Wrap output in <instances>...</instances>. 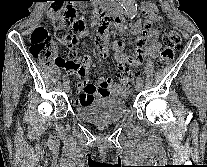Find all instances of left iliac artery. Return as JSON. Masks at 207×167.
I'll use <instances>...</instances> for the list:
<instances>
[{"label":"left iliac artery","mask_w":207,"mask_h":167,"mask_svg":"<svg viewBox=\"0 0 207 167\" xmlns=\"http://www.w3.org/2000/svg\"><path fill=\"white\" fill-rule=\"evenodd\" d=\"M137 81H139V82H142V83H143V80H142V78H141L140 76H138V77H137Z\"/></svg>","instance_id":"44dca946"}]
</instances>
